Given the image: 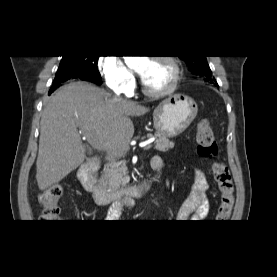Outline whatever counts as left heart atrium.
<instances>
[{
  "mask_svg": "<svg viewBox=\"0 0 277 277\" xmlns=\"http://www.w3.org/2000/svg\"><path fill=\"white\" fill-rule=\"evenodd\" d=\"M141 78H142V81L145 82V74L144 73L141 75Z\"/></svg>",
  "mask_w": 277,
  "mask_h": 277,
  "instance_id": "obj_1",
  "label": "left heart atrium"
}]
</instances>
